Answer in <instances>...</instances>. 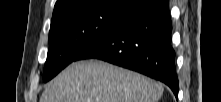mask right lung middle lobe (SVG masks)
Masks as SVG:
<instances>
[{"mask_svg": "<svg viewBox=\"0 0 221 102\" xmlns=\"http://www.w3.org/2000/svg\"><path fill=\"white\" fill-rule=\"evenodd\" d=\"M136 11L128 0H85L53 15L44 82L79 59L93 43Z\"/></svg>", "mask_w": 221, "mask_h": 102, "instance_id": "obj_1", "label": "right lung middle lobe"}]
</instances>
